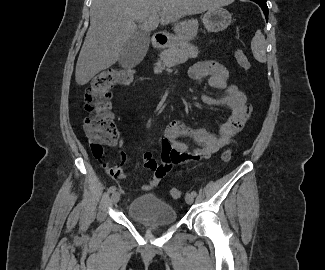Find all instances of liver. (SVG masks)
<instances>
[{
    "label": "liver",
    "mask_w": 325,
    "mask_h": 270,
    "mask_svg": "<svg viewBox=\"0 0 325 270\" xmlns=\"http://www.w3.org/2000/svg\"><path fill=\"white\" fill-rule=\"evenodd\" d=\"M233 0H93L90 27L81 48L75 71L78 85L87 84L95 75L114 65L126 41L138 28L150 32L159 24H174L176 36L194 37L198 21L181 18ZM158 14L161 18L159 19ZM139 23V26L137 25ZM140 23H142L140 25Z\"/></svg>",
    "instance_id": "obj_1"
}]
</instances>
